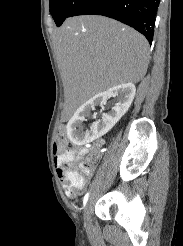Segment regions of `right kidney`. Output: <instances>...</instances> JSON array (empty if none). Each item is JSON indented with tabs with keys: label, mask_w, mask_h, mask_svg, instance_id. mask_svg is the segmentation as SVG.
<instances>
[{
	"label": "right kidney",
	"mask_w": 183,
	"mask_h": 246,
	"mask_svg": "<svg viewBox=\"0 0 183 246\" xmlns=\"http://www.w3.org/2000/svg\"><path fill=\"white\" fill-rule=\"evenodd\" d=\"M136 88L133 83H124L111 87L105 92L93 96L81 105L67 124V135L70 141L76 145H83L103 136L110 131L114 125L129 109ZM116 97L117 103L109 113L103 114L102 121L95 122L88 132L81 129L82 122L89 116L90 111L97 105L106 104L107 99Z\"/></svg>",
	"instance_id": "obj_1"
}]
</instances>
